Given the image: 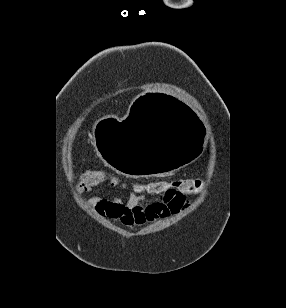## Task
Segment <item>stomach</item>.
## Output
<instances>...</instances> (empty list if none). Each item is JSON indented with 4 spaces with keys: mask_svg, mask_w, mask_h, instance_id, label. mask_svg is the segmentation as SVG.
Masks as SVG:
<instances>
[{
    "mask_svg": "<svg viewBox=\"0 0 286 308\" xmlns=\"http://www.w3.org/2000/svg\"><path fill=\"white\" fill-rule=\"evenodd\" d=\"M169 91H146L132 101L129 118L104 113L93 122L91 143L110 171L128 177H169L202 159L208 125L200 112Z\"/></svg>",
    "mask_w": 286,
    "mask_h": 308,
    "instance_id": "stomach-1",
    "label": "stomach"
}]
</instances>
